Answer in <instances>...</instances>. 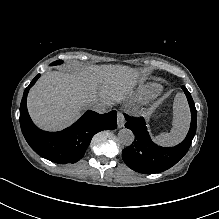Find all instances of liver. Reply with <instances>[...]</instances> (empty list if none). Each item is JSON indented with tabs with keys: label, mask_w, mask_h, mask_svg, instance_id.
<instances>
[{
	"label": "liver",
	"mask_w": 219,
	"mask_h": 219,
	"mask_svg": "<svg viewBox=\"0 0 219 219\" xmlns=\"http://www.w3.org/2000/svg\"><path fill=\"white\" fill-rule=\"evenodd\" d=\"M138 77L137 70L120 65L49 71L31 88L28 112L40 128L62 130L73 124L94 101L121 102Z\"/></svg>",
	"instance_id": "obj_1"
}]
</instances>
